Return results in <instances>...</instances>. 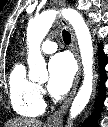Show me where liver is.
<instances>
[{
	"mask_svg": "<svg viewBox=\"0 0 108 127\" xmlns=\"http://www.w3.org/2000/svg\"><path fill=\"white\" fill-rule=\"evenodd\" d=\"M5 127H42V122L32 118H14L9 120Z\"/></svg>",
	"mask_w": 108,
	"mask_h": 127,
	"instance_id": "obj_1",
	"label": "liver"
}]
</instances>
